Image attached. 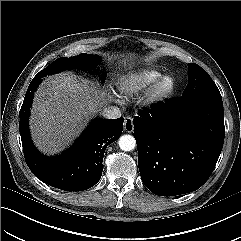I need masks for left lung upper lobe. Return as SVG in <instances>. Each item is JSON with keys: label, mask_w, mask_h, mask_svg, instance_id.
Listing matches in <instances>:
<instances>
[{"label": "left lung upper lobe", "mask_w": 241, "mask_h": 241, "mask_svg": "<svg viewBox=\"0 0 241 241\" xmlns=\"http://www.w3.org/2000/svg\"><path fill=\"white\" fill-rule=\"evenodd\" d=\"M188 68L189 82L182 97L204 94L221 97L216 84L205 70L195 63L188 64Z\"/></svg>", "instance_id": "left-lung-upper-lobe-1"}]
</instances>
